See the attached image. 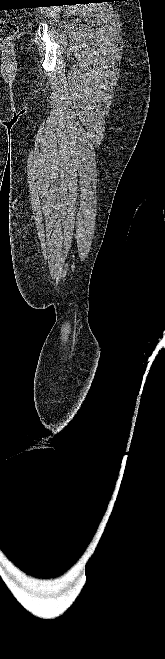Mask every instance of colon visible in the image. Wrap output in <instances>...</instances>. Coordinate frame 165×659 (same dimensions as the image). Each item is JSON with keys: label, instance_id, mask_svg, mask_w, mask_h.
I'll return each mask as SVG.
<instances>
[{"label": "colon", "instance_id": "obj_1", "mask_svg": "<svg viewBox=\"0 0 165 659\" xmlns=\"http://www.w3.org/2000/svg\"><path fill=\"white\" fill-rule=\"evenodd\" d=\"M18 33V27L13 22L0 19V41H10Z\"/></svg>", "mask_w": 165, "mask_h": 659}]
</instances>
